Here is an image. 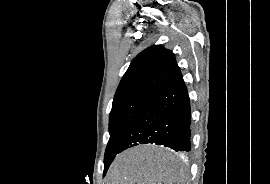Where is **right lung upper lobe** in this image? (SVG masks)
Segmentation results:
<instances>
[{
  "label": "right lung upper lobe",
  "instance_id": "cb5924a9",
  "mask_svg": "<svg viewBox=\"0 0 270 184\" xmlns=\"http://www.w3.org/2000/svg\"><path fill=\"white\" fill-rule=\"evenodd\" d=\"M180 74L174 54L153 45L138 54L124 74L114 101L135 95L151 96Z\"/></svg>",
  "mask_w": 270,
  "mask_h": 184
}]
</instances>
